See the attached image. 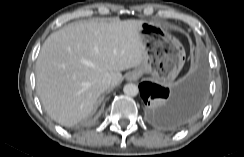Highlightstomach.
<instances>
[{
	"label": "stomach",
	"mask_w": 244,
	"mask_h": 157,
	"mask_svg": "<svg viewBox=\"0 0 244 157\" xmlns=\"http://www.w3.org/2000/svg\"><path fill=\"white\" fill-rule=\"evenodd\" d=\"M140 36L145 51L137 71L160 84L171 82L185 63L182 43L156 21H144Z\"/></svg>",
	"instance_id": "0dacf381"
}]
</instances>
